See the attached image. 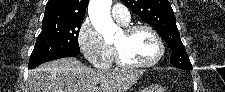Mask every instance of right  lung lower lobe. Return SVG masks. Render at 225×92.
Returning a JSON list of instances; mask_svg holds the SVG:
<instances>
[{"label": "right lung lower lobe", "mask_w": 225, "mask_h": 92, "mask_svg": "<svg viewBox=\"0 0 225 92\" xmlns=\"http://www.w3.org/2000/svg\"><path fill=\"white\" fill-rule=\"evenodd\" d=\"M79 52H65L59 55H54V56H49L46 58H42V59H37V60H33V61H29V66L28 68L33 69L35 67H37L38 65L47 62V61H52V60H56V59H60V58H64V57H75L77 56Z\"/></svg>", "instance_id": "obj_1"}]
</instances>
